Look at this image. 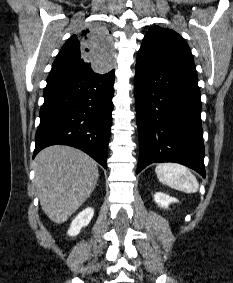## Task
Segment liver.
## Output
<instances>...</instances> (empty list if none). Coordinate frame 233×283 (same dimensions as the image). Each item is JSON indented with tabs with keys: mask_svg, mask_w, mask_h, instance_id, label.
I'll return each instance as SVG.
<instances>
[{
	"mask_svg": "<svg viewBox=\"0 0 233 283\" xmlns=\"http://www.w3.org/2000/svg\"><path fill=\"white\" fill-rule=\"evenodd\" d=\"M97 163L73 147L54 145L35 158V186L44 213L55 223L67 221L91 195Z\"/></svg>",
	"mask_w": 233,
	"mask_h": 283,
	"instance_id": "obj_1",
	"label": "liver"
}]
</instances>
